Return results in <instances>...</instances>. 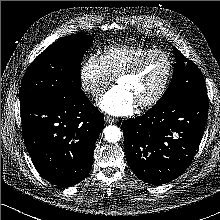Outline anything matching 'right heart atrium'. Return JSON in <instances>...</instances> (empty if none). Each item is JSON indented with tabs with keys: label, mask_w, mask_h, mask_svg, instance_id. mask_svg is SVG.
I'll return each mask as SVG.
<instances>
[{
	"label": "right heart atrium",
	"mask_w": 220,
	"mask_h": 220,
	"mask_svg": "<svg viewBox=\"0 0 220 220\" xmlns=\"http://www.w3.org/2000/svg\"><path fill=\"white\" fill-rule=\"evenodd\" d=\"M79 79L82 90L97 99L111 83L113 77L107 72L101 57L90 55L80 67Z\"/></svg>",
	"instance_id": "obj_1"
}]
</instances>
